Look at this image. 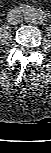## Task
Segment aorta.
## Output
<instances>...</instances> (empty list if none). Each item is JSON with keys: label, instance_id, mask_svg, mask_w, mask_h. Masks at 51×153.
I'll return each instance as SVG.
<instances>
[{"label": "aorta", "instance_id": "obj_1", "mask_svg": "<svg viewBox=\"0 0 51 153\" xmlns=\"http://www.w3.org/2000/svg\"><path fill=\"white\" fill-rule=\"evenodd\" d=\"M29 20L32 22H42L45 23L48 20V17L40 12L39 10H30L29 11Z\"/></svg>", "mask_w": 51, "mask_h": 153}]
</instances>
